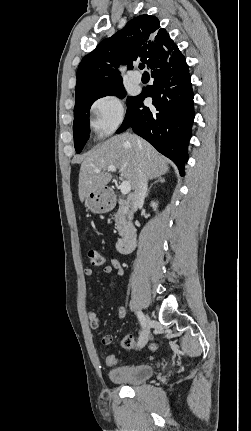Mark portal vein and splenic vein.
Returning a JSON list of instances; mask_svg holds the SVG:
<instances>
[{
  "label": "portal vein and splenic vein",
  "instance_id": "portal-vein-and-splenic-vein-1",
  "mask_svg": "<svg viewBox=\"0 0 251 431\" xmlns=\"http://www.w3.org/2000/svg\"><path fill=\"white\" fill-rule=\"evenodd\" d=\"M107 171H111V172H115L116 171V167L115 166H109L106 169ZM94 172L99 173L100 170L99 169H95ZM120 191L123 195L128 194L131 191V185L129 181H122L121 185H120Z\"/></svg>",
  "mask_w": 251,
  "mask_h": 431
}]
</instances>
